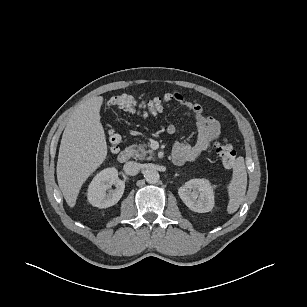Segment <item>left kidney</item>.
<instances>
[{"instance_id":"obj_1","label":"left kidney","mask_w":307,"mask_h":307,"mask_svg":"<svg viewBox=\"0 0 307 307\" xmlns=\"http://www.w3.org/2000/svg\"><path fill=\"white\" fill-rule=\"evenodd\" d=\"M185 205L194 212H209L214 207V192L209 180L191 179L178 190Z\"/></svg>"}]
</instances>
